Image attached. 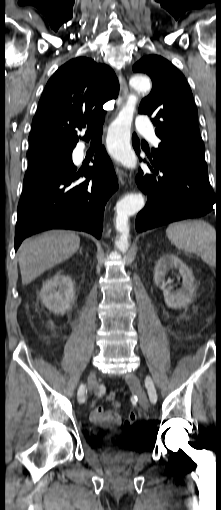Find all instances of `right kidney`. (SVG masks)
Listing matches in <instances>:
<instances>
[{"label":"right kidney","mask_w":221,"mask_h":510,"mask_svg":"<svg viewBox=\"0 0 221 510\" xmlns=\"http://www.w3.org/2000/svg\"><path fill=\"white\" fill-rule=\"evenodd\" d=\"M40 298L49 311L63 315L74 302V284L68 275L58 272L43 284Z\"/></svg>","instance_id":"right-kidney-1"}]
</instances>
